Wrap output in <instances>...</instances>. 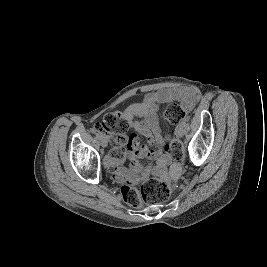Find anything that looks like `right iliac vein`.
Instances as JSON below:
<instances>
[{"mask_svg":"<svg viewBox=\"0 0 267 267\" xmlns=\"http://www.w3.org/2000/svg\"><path fill=\"white\" fill-rule=\"evenodd\" d=\"M100 143L103 147L107 145V141L104 138L100 140Z\"/></svg>","mask_w":267,"mask_h":267,"instance_id":"obj_1","label":"right iliac vein"}]
</instances>
